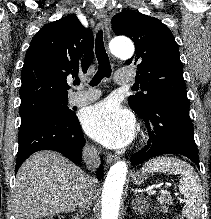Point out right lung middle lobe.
<instances>
[{
  "label": "right lung middle lobe",
  "instance_id": "right-lung-middle-lobe-1",
  "mask_svg": "<svg viewBox=\"0 0 211 219\" xmlns=\"http://www.w3.org/2000/svg\"><path fill=\"white\" fill-rule=\"evenodd\" d=\"M67 98H42L20 105L21 123L44 115L70 118L75 113L67 107Z\"/></svg>",
  "mask_w": 211,
  "mask_h": 219
}]
</instances>
